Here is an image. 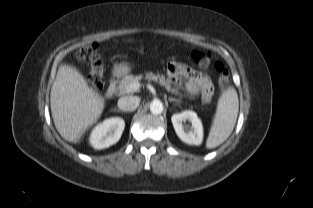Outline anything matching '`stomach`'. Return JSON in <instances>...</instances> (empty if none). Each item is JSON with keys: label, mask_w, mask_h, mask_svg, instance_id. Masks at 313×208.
<instances>
[{"label": "stomach", "mask_w": 313, "mask_h": 208, "mask_svg": "<svg viewBox=\"0 0 313 208\" xmlns=\"http://www.w3.org/2000/svg\"><path fill=\"white\" fill-rule=\"evenodd\" d=\"M118 71L129 72L130 68L127 65H121L117 67Z\"/></svg>", "instance_id": "1"}]
</instances>
